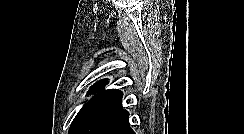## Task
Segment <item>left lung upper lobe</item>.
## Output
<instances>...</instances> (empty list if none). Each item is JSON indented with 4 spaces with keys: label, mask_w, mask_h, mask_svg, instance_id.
Wrapping results in <instances>:
<instances>
[{
    "label": "left lung upper lobe",
    "mask_w": 244,
    "mask_h": 134,
    "mask_svg": "<svg viewBox=\"0 0 244 134\" xmlns=\"http://www.w3.org/2000/svg\"><path fill=\"white\" fill-rule=\"evenodd\" d=\"M108 83L104 79L89 90L94 95L78 112L71 123L68 134H93L107 119L122 109L123 93L117 89L104 90Z\"/></svg>",
    "instance_id": "left-lung-upper-lobe-1"
}]
</instances>
